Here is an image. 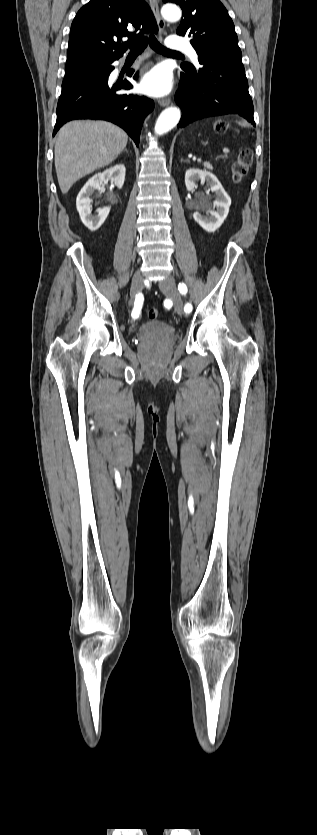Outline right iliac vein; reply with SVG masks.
<instances>
[{
	"mask_svg": "<svg viewBox=\"0 0 317 835\" xmlns=\"http://www.w3.org/2000/svg\"><path fill=\"white\" fill-rule=\"evenodd\" d=\"M143 288V278L139 271H137L132 279L131 289H130V296L131 299L129 301V305L132 304L134 297L142 290Z\"/></svg>",
	"mask_w": 317,
	"mask_h": 835,
	"instance_id": "obj_1",
	"label": "right iliac vein"
}]
</instances>
